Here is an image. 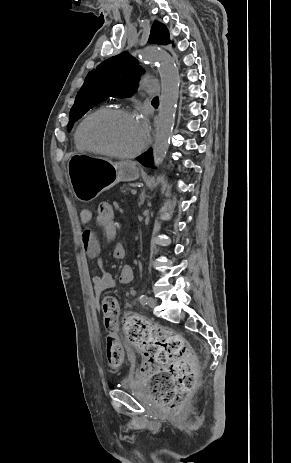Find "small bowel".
<instances>
[{"label": "small bowel", "mask_w": 291, "mask_h": 463, "mask_svg": "<svg viewBox=\"0 0 291 463\" xmlns=\"http://www.w3.org/2000/svg\"><path fill=\"white\" fill-rule=\"evenodd\" d=\"M80 220L83 224H89L93 220V214L89 209H83L80 212ZM96 221L98 223V217L96 216ZM103 230V235L106 239L112 240L116 236L117 233V225L114 221L113 226H101ZM81 244L85 251V253L95 260L98 266L101 269L100 274L93 275L91 277V282L93 285V289L96 294H101L104 291L112 289L116 285V280L114 277L107 271L103 269L102 258L100 254V246L99 242L94 234V232L90 229H85L81 233ZM125 248L123 245L118 244L115 246L113 255L115 258L121 259L125 256ZM134 277L133 270L129 265H125L122 267L119 275V282L121 284H128L132 282Z\"/></svg>", "instance_id": "c3829d8e"}]
</instances>
